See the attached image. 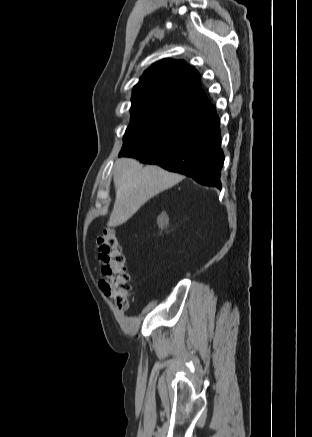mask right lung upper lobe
<instances>
[{"label":"right lung upper lobe","instance_id":"cb5924a9","mask_svg":"<svg viewBox=\"0 0 312 437\" xmlns=\"http://www.w3.org/2000/svg\"><path fill=\"white\" fill-rule=\"evenodd\" d=\"M131 101L132 107L162 104L198 114L212 107L200 88L199 73L173 59L160 60L147 69L134 86Z\"/></svg>","mask_w":312,"mask_h":437}]
</instances>
